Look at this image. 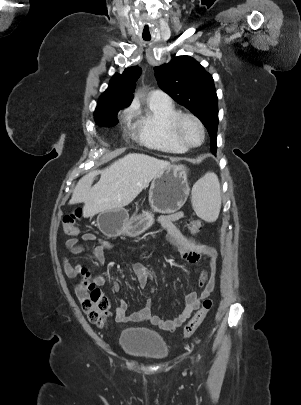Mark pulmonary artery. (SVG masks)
Returning a JSON list of instances; mask_svg holds the SVG:
<instances>
[{"instance_id": "obj_1", "label": "pulmonary artery", "mask_w": 301, "mask_h": 405, "mask_svg": "<svg viewBox=\"0 0 301 405\" xmlns=\"http://www.w3.org/2000/svg\"><path fill=\"white\" fill-rule=\"evenodd\" d=\"M149 101L153 103L169 105L172 104L171 98L161 90H153L149 94Z\"/></svg>"}]
</instances>
